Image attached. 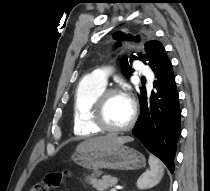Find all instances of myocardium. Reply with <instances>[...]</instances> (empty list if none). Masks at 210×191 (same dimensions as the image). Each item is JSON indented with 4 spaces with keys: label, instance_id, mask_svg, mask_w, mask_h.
Wrapping results in <instances>:
<instances>
[{
    "label": "myocardium",
    "instance_id": "obj_1",
    "mask_svg": "<svg viewBox=\"0 0 210 191\" xmlns=\"http://www.w3.org/2000/svg\"><path fill=\"white\" fill-rule=\"evenodd\" d=\"M116 94L124 95V93L115 87L104 89L94 100L91 112H90V121L91 123L98 128L100 131L108 132V133H121L130 130L136 122L137 119V105L131 99L132 113L129 122L122 127H110L105 119L104 110L107 103V100Z\"/></svg>",
    "mask_w": 210,
    "mask_h": 191
}]
</instances>
